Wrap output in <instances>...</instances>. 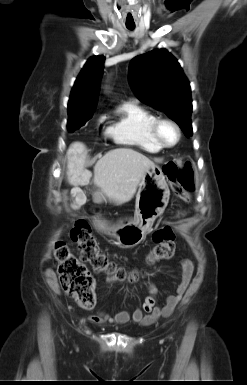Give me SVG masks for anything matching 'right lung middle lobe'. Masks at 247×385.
Wrapping results in <instances>:
<instances>
[{"label":"right lung middle lobe","mask_w":247,"mask_h":385,"mask_svg":"<svg viewBox=\"0 0 247 385\" xmlns=\"http://www.w3.org/2000/svg\"><path fill=\"white\" fill-rule=\"evenodd\" d=\"M94 109L68 110V130L73 132L83 125L93 116Z\"/></svg>","instance_id":"1"}]
</instances>
